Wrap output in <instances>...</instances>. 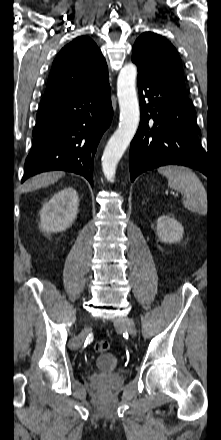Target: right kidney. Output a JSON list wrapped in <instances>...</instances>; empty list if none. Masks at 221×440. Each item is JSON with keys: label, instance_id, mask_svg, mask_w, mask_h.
Returning <instances> with one entry per match:
<instances>
[{"label": "right kidney", "instance_id": "right-kidney-1", "mask_svg": "<svg viewBox=\"0 0 221 440\" xmlns=\"http://www.w3.org/2000/svg\"><path fill=\"white\" fill-rule=\"evenodd\" d=\"M79 198L72 187L61 189L40 211V228L44 232H61L69 228L78 212Z\"/></svg>", "mask_w": 221, "mask_h": 440}]
</instances>
